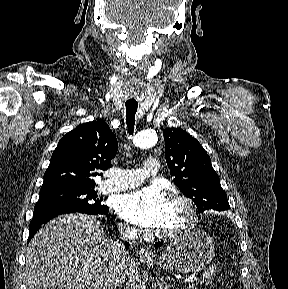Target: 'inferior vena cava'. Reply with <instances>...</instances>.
<instances>
[{
    "mask_svg": "<svg viewBox=\"0 0 288 289\" xmlns=\"http://www.w3.org/2000/svg\"><path fill=\"white\" fill-rule=\"evenodd\" d=\"M120 240L110 243V260L107 265L96 275L94 289H117L126 262V250L122 241L133 240L137 237V230L133 227L119 225Z\"/></svg>",
    "mask_w": 288,
    "mask_h": 289,
    "instance_id": "602c4592",
    "label": "inferior vena cava"
}]
</instances>
